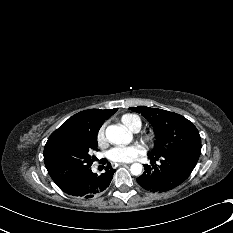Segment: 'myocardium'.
<instances>
[{
  "label": "myocardium",
  "mask_w": 233,
  "mask_h": 233,
  "mask_svg": "<svg viewBox=\"0 0 233 233\" xmlns=\"http://www.w3.org/2000/svg\"><path fill=\"white\" fill-rule=\"evenodd\" d=\"M141 139L145 142V143H152L153 140H154V135L152 132H146V133H143L141 135Z\"/></svg>",
  "instance_id": "1"
}]
</instances>
